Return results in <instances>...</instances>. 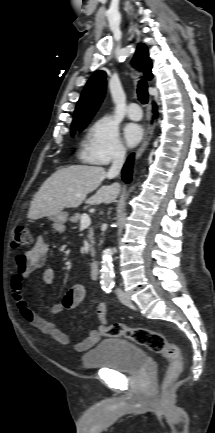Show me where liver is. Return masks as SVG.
I'll return each mask as SVG.
<instances>
[{"instance_id": "liver-1", "label": "liver", "mask_w": 215, "mask_h": 433, "mask_svg": "<svg viewBox=\"0 0 215 433\" xmlns=\"http://www.w3.org/2000/svg\"><path fill=\"white\" fill-rule=\"evenodd\" d=\"M107 177L103 167L89 165H71L53 173L35 194L28 213V218L37 220L52 217L64 208H77L86 199L87 194L96 190ZM120 185L101 186L86 200V204H109L116 200Z\"/></svg>"}]
</instances>
